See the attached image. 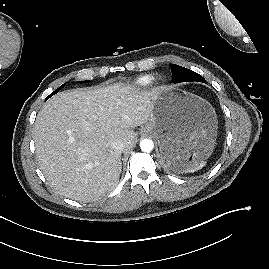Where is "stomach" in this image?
Returning <instances> with one entry per match:
<instances>
[{"label":"stomach","instance_id":"0dacf381","mask_svg":"<svg viewBox=\"0 0 269 269\" xmlns=\"http://www.w3.org/2000/svg\"><path fill=\"white\" fill-rule=\"evenodd\" d=\"M217 124V115L208 101L166 88L155 93L150 119L141 133L152 134L157 139L164 168L181 171L210 156Z\"/></svg>","mask_w":269,"mask_h":269}]
</instances>
